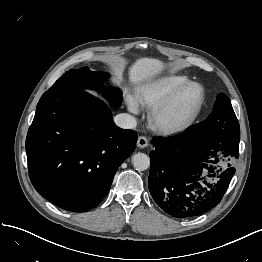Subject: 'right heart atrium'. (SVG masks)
Listing matches in <instances>:
<instances>
[{"label":"right heart atrium","instance_id":"1","mask_svg":"<svg viewBox=\"0 0 262 262\" xmlns=\"http://www.w3.org/2000/svg\"><path fill=\"white\" fill-rule=\"evenodd\" d=\"M128 106H129V109L132 110V111L137 110L136 103L131 99L128 100Z\"/></svg>","mask_w":262,"mask_h":262}]
</instances>
